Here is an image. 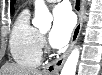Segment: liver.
<instances>
[{
	"label": "liver",
	"instance_id": "6515ba94",
	"mask_svg": "<svg viewBox=\"0 0 102 75\" xmlns=\"http://www.w3.org/2000/svg\"><path fill=\"white\" fill-rule=\"evenodd\" d=\"M0 75H43L39 70L23 68L17 64H5L0 68Z\"/></svg>",
	"mask_w": 102,
	"mask_h": 75
}]
</instances>
